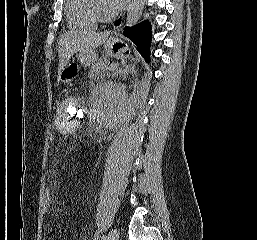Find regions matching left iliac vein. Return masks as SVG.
Returning <instances> with one entry per match:
<instances>
[{
    "instance_id": "obj_1",
    "label": "left iliac vein",
    "mask_w": 257,
    "mask_h": 240,
    "mask_svg": "<svg viewBox=\"0 0 257 240\" xmlns=\"http://www.w3.org/2000/svg\"><path fill=\"white\" fill-rule=\"evenodd\" d=\"M119 239V231L117 228H113L105 238V240H118Z\"/></svg>"
}]
</instances>
